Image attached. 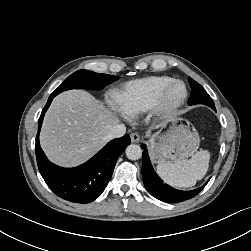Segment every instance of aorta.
<instances>
[{
    "label": "aorta",
    "mask_w": 251,
    "mask_h": 251,
    "mask_svg": "<svg viewBox=\"0 0 251 251\" xmlns=\"http://www.w3.org/2000/svg\"><path fill=\"white\" fill-rule=\"evenodd\" d=\"M126 156L130 160H138L142 156V149L139 145L137 144H130L126 148Z\"/></svg>",
    "instance_id": "obj_1"
}]
</instances>
